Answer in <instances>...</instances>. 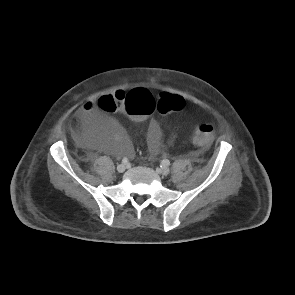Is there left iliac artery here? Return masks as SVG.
Masks as SVG:
<instances>
[{
  "mask_svg": "<svg viewBox=\"0 0 295 295\" xmlns=\"http://www.w3.org/2000/svg\"><path fill=\"white\" fill-rule=\"evenodd\" d=\"M162 164L164 166H169L170 165V161L168 159H164V160H162Z\"/></svg>",
  "mask_w": 295,
  "mask_h": 295,
  "instance_id": "left-iliac-artery-1",
  "label": "left iliac artery"
}]
</instances>
